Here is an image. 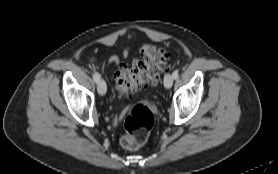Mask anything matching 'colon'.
<instances>
[{"instance_id": "5ec220e1", "label": "colon", "mask_w": 278, "mask_h": 174, "mask_svg": "<svg viewBox=\"0 0 278 174\" xmlns=\"http://www.w3.org/2000/svg\"><path fill=\"white\" fill-rule=\"evenodd\" d=\"M167 65L168 54L164 49L145 44L141 48L140 57L130 67L122 66L116 72L117 88L124 95L130 96L154 85ZM153 125L154 117L150 109L144 105H136L125 119L126 132L121 137V145L128 150L140 148L146 143Z\"/></svg>"}]
</instances>
